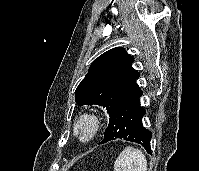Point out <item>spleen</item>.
<instances>
[{
  "instance_id": "3e777b00",
  "label": "spleen",
  "mask_w": 199,
  "mask_h": 171,
  "mask_svg": "<svg viewBox=\"0 0 199 171\" xmlns=\"http://www.w3.org/2000/svg\"><path fill=\"white\" fill-rule=\"evenodd\" d=\"M114 171H147V160L141 150L127 146L114 162Z\"/></svg>"
}]
</instances>
